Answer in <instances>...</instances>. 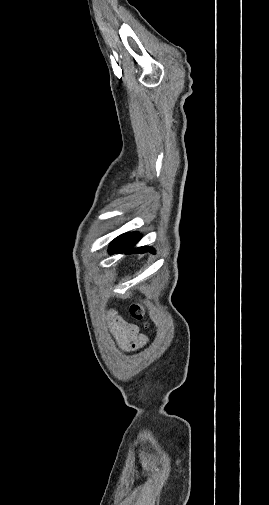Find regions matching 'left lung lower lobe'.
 <instances>
[{"mask_svg":"<svg viewBox=\"0 0 269 505\" xmlns=\"http://www.w3.org/2000/svg\"><path fill=\"white\" fill-rule=\"evenodd\" d=\"M140 240V236L137 232L125 233L117 238H115L110 246L109 253H145L147 251L153 252V249L150 247H139L133 249L134 245Z\"/></svg>","mask_w":269,"mask_h":505,"instance_id":"left-lung-lower-lobe-1","label":"left lung lower lobe"}]
</instances>
